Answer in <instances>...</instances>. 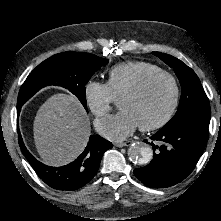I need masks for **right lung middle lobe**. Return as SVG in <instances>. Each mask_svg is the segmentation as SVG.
Listing matches in <instances>:
<instances>
[{"mask_svg": "<svg viewBox=\"0 0 221 221\" xmlns=\"http://www.w3.org/2000/svg\"><path fill=\"white\" fill-rule=\"evenodd\" d=\"M108 60L89 53L63 52L39 64L27 77L19 91L17 108L41 88L61 86L78 97L87 110L85 85Z\"/></svg>", "mask_w": 221, "mask_h": 221, "instance_id": "obj_1", "label": "right lung middle lobe"}]
</instances>
